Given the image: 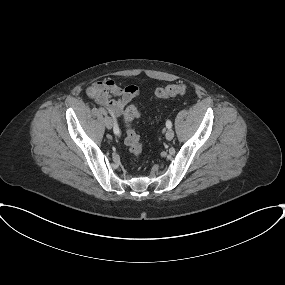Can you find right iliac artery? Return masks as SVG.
<instances>
[{
    "mask_svg": "<svg viewBox=\"0 0 285 285\" xmlns=\"http://www.w3.org/2000/svg\"><path fill=\"white\" fill-rule=\"evenodd\" d=\"M102 113H103V114H106V112H105L104 109L102 110ZM113 120H114V133H115L116 135H118V134L120 133L119 127H118L117 122H116V120H115L114 117H113Z\"/></svg>",
    "mask_w": 285,
    "mask_h": 285,
    "instance_id": "obj_1",
    "label": "right iliac artery"
}]
</instances>
